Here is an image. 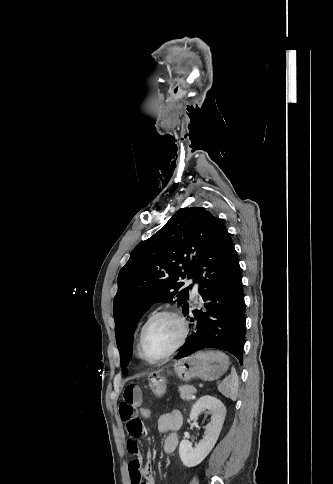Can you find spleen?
<instances>
[{"label": "spleen", "instance_id": "spleen-1", "mask_svg": "<svg viewBox=\"0 0 333 484\" xmlns=\"http://www.w3.org/2000/svg\"><path fill=\"white\" fill-rule=\"evenodd\" d=\"M238 385L239 383L237 373L235 369H232L231 374L218 385V390L226 398L235 401L238 396Z\"/></svg>", "mask_w": 333, "mask_h": 484}]
</instances>
